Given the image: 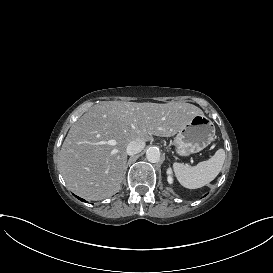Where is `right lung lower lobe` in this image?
I'll return each mask as SVG.
<instances>
[{
    "label": "right lung lower lobe",
    "instance_id": "1",
    "mask_svg": "<svg viewBox=\"0 0 273 273\" xmlns=\"http://www.w3.org/2000/svg\"><path fill=\"white\" fill-rule=\"evenodd\" d=\"M77 197V196H76ZM79 200H81V201H84L85 202V200L84 199H81V198H79V197H77Z\"/></svg>",
    "mask_w": 273,
    "mask_h": 273
}]
</instances>
